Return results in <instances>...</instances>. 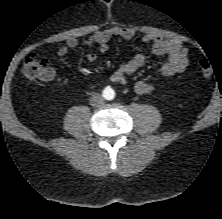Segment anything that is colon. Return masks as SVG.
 <instances>
[{
	"label": "colon",
	"mask_w": 222,
	"mask_h": 219,
	"mask_svg": "<svg viewBox=\"0 0 222 219\" xmlns=\"http://www.w3.org/2000/svg\"><path fill=\"white\" fill-rule=\"evenodd\" d=\"M199 70L203 77L208 78L212 75V66L207 61L200 63ZM21 72L28 81L45 80L50 77V67L47 61L35 54H30L24 59Z\"/></svg>",
	"instance_id": "1"
}]
</instances>
